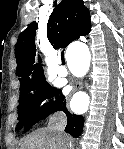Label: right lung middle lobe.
Returning <instances> with one entry per match:
<instances>
[{
    "mask_svg": "<svg viewBox=\"0 0 124 149\" xmlns=\"http://www.w3.org/2000/svg\"><path fill=\"white\" fill-rule=\"evenodd\" d=\"M55 90L47 82L33 87H20L17 130L21 129L31 116L40 114L48 108L49 105H40L45 99L51 98Z\"/></svg>",
    "mask_w": 124,
    "mask_h": 149,
    "instance_id": "dd1d6c3e",
    "label": "right lung middle lobe"
}]
</instances>
